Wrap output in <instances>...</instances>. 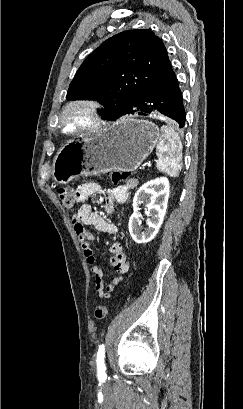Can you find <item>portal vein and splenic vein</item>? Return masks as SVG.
<instances>
[{"mask_svg": "<svg viewBox=\"0 0 243 409\" xmlns=\"http://www.w3.org/2000/svg\"><path fill=\"white\" fill-rule=\"evenodd\" d=\"M148 166H151V164H150V163H148Z\"/></svg>", "mask_w": 243, "mask_h": 409, "instance_id": "1", "label": "portal vein and splenic vein"}]
</instances>
